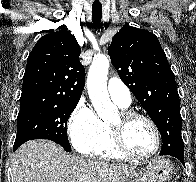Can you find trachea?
Wrapping results in <instances>:
<instances>
[{
	"mask_svg": "<svg viewBox=\"0 0 196 182\" xmlns=\"http://www.w3.org/2000/svg\"><path fill=\"white\" fill-rule=\"evenodd\" d=\"M102 17V7H92V20L94 25H98Z\"/></svg>",
	"mask_w": 196,
	"mask_h": 182,
	"instance_id": "trachea-1",
	"label": "trachea"
}]
</instances>
